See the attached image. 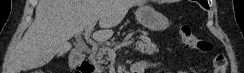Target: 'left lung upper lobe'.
<instances>
[{"label": "left lung upper lobe", "instance_id": "1", "mask_svg": "<svg viewBox=\"0 0 244 73\" xmlns=\"http://www.w3.org/2000/svg\"><path fill=\"white\" fill-rule=\"evenodd\" d=\"M203 7L207 8L208 7V3L207 0H204V4L202 5Z\"/></svg>", "mask_w": 244, "mask_h": 73}]
</instances>
